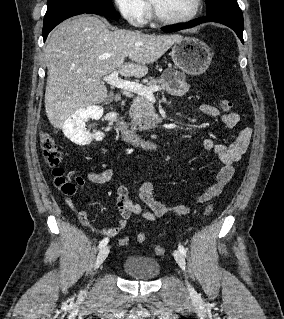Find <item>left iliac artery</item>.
<instances>
[{
	"instance_id": "left-iliac-artery-1",
	"label": "left iliac artery",
	"mask_w": 284,
	"mask_h": 319,
	"mask_svg": "<svg viewBox=\"0 0 284 319\" xmlns=\"http://www.w3.org/2000/svg\"><path fill=\"white\" fill-rule=\"evenodd\" d=\"M178 249L184 256H186V249L183 247V245L179 244Z\"/></svg>"
}]
</instances>
